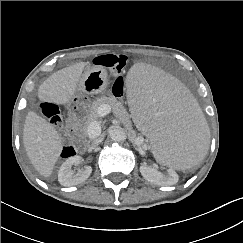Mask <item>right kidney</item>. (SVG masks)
<instances>
[{
    "instance_id": "1",
    "label": "right kidney",
    "mask_w": 243,
    "mask_h": 243,
    "mask_svg": "<svg viewBox=\"0 0 243 243\" xmlns=\"http://www.w3.org/2000/svg\"><path fill=\"white\" fill-rule=\"evenodd\" d=\"M82 161L80 156L69 157L60 167L58 181L63 186H73L84 182L92 173L91 166H85L78 172L72 170V166Z\"/></svg>"
}]
</instances>
